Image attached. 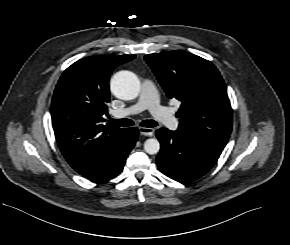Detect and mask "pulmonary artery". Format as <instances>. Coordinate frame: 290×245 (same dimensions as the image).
<instances>
[{
	"instance_id": "1",
	"label": "pulmonary artery",
	"mask_w": 290,
	"mask_h": 245,
	"mask_svg": "<svg viewBox=\"0 0 290 245\" xmlns=\"http://www.w3.org/2000/svg\"><path fill=\"white\" fill-rule=\"evenodd\" d=\"M148 109L155 119L171 130L178 128V121L174 114L167 108L160 105L156 87L148 79L142 82L141 90L137 101L129 107L114 110L111 115L114 118H124L129 115H135Z\"/></svg>"
}]
</instances>
